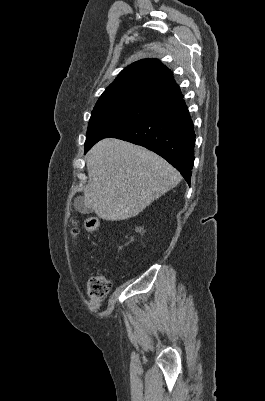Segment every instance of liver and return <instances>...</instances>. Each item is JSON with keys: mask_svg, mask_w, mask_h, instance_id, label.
Here are the masks:
<instances>
[{"mask_svg": "<svg viewBox=\"0 0 265 401\" xmlns=\"http://www.w3.org/2000/svg\"><path fill=\"white\" fill-rule=\"evenodd\" d=\"M85 207L104 221L139 215L182 176L167 160L118 138H103L86 154Z\"/></svg>", "mask_w": 265, "mask_h": 401, "instance_id": "obj_1", "label": "liver"}]
</instances>
